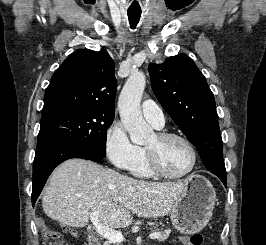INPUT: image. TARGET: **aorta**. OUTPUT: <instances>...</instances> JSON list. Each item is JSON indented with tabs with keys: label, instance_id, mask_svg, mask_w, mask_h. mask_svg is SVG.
Here are the masks:
<instances>
[{
	"label": "aorta",
	"instance_id": "762f6f07",
	"mask_svg": "<svg viewBox=\"0 0 266 245\" xmlns=\"http://www.w3.org/2000/svg\"><path fill=\"white\" fill-rule=\"evenodd\" d=\"M146 78L144 72H131L119 96L118 108L122 125L128 131L131 143L145 145L153 129L145 123L140 110V100L144 92Z\"/></svg>",
	"mask_w": 266,
	"mask_h": 245
}]
</instances>
